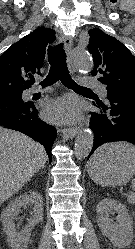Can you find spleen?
I'll return each instance as SVG.
<instances>
[{
    "instance_id": "obj_1",
    "label": "spleen",
    "mask_w": 135,
    "mask_h": 249,
    "mask_svg": "<svg viewBox=\"0 0 135 249\" xmlns=\"http://www.w3.org/2000/svg\"><path fill=\"white\" fill-rule=\"evenodd\" d=\"M106 149L109 150V151L122 153V154H125V155H128V156H131V157L135 158V147L130 145V144H127V143L119 142V143H112V144H110L108 146L101 147L99 150H97L94 153V155L92 156L91 159H93V160L96 159L97 156L101 155L102 150H106ZM131 186L135 190V179L132 180Z\"/></svg>"
}]
</instances>
